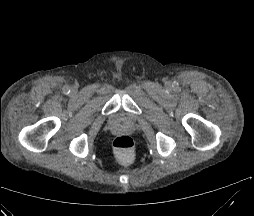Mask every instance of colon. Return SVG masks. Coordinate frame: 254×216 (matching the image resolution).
<instances>
[{"mask_svg": "<svg viewBox=\"0 0 254 216\" xmlns=\"http://www.w3.org/2000/svg\"><path fill=\"white\" fill-rule=\"evenodd\" d=\"M116 156L123 162H128L133 156L134 142L129 135L122 134L113 142Z\"/></svg>", "mask_w": 254, "mask_h": 216, "instance_id": "5ec220e1", "label": "colon"}]
</instances>
